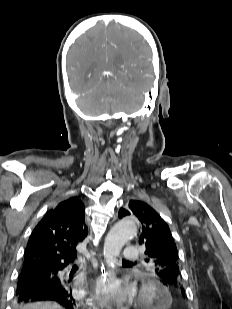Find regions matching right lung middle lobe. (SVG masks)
<instances>
[{
    "label": "right lung middle lobe",
    "instance_id": "right-lung-middle-lobe-1",
    "mask_svg": "<svg viewBox=\"0 0 232 309\" xmlns=\"http://www.w3.org/2000/svg\"><path fill=\"white\" fill-rule=\"evenodd\" d=\"M19 277H23V278H25L26 280H28L29 279V276L28 275H24V274H20V276Z\"/></svg>",
    "mask_w": 232,
    "mask_h": 309
}]
</instances>
